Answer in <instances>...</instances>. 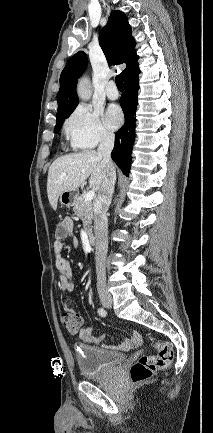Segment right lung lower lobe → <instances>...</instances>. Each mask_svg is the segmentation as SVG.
<instances>
[{
	"label": "right lung lower lobe",
	"mask_w": 213,
	"mask_h": 433,
	"mask_svg": "<svg viewBox=\"0 0 213 433\" xmlns=\"http://www.w3.org/2000/svg\"><path fill=\"white\" fill-rule=\"evenodd\" d=\"M139 73L140 70L136 67L123 79L126 90L120 98V104L125 115V124L115 135V145L111 153L113 161L126 175L130 172L131 151L135 139V111L139 89Z\"/></svg>",
	"instance_id": "98d812e1"
}]
</instances>
